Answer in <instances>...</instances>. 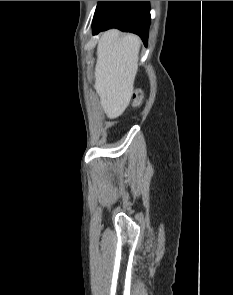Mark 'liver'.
<instances>
[{"instance_id":"obj_1","label":"liver","mask_w":233,"mask_h":295,"mask_svg":"<svg viewBox=\"0 0 233 295\" xmlns=\"http://www.w3.org/2000/svg\"><path fill=\"white\" fill-rule=\"evenodd\" d=\"M140 38L116 29L104 32L97 46L94 88L108 118L123 113L131 100L138 71Z\"/></svg>"}]
</instances>
